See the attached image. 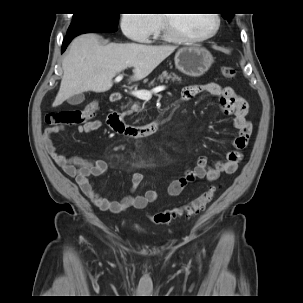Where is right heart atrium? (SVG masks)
<instances>
[{
    "label": "right heart atrium",
    "instance_id": "right-heart-atrium-1",
    "mask_svg": "<svg viewBox=\"0 0 303 303\" xmlns=\"http://www.w3.org/2000/svg\"><path fill=\"white\" fill-rule=\"evenodd\" d=\"M119 26L127 39L147 43L158 32L160 21L154 14H122Z\"/></svg>",
    "mask_w": 303,
    "mask_h": 303
}]
</instances>
